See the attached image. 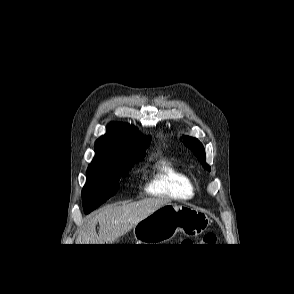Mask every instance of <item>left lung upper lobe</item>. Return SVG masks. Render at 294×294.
Segmentation results:
<instances>
[{
  "instance_id": "obj_1",
  "label": "left lung upper lobe",
  "mask_w": 294,
  "mask_h": 294,
  "mask_svg": "<svg viewBox=\"0 0 294 294\" xmlns=\"http://www.w3.org/2000/svg\"><path fill=\"white\" fill-rule=\"evenodd\" d=\"M182 138L184 144L194 152L197 159L202 163V166L210 171V166L205 162V150L202 143L196 138L188 136H183Z\"/></svg>"
}]
</instances>
